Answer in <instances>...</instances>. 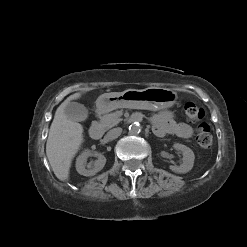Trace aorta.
Returning a JSON list of instances; mask_svg holds the SVG:
<instances>
[{
	"label": "aorta",
	"mask_w": 247,
	"mask_h": 247,
	"mask_svg": "<svg viewBox=\"0 0 247 247\" xmlns=\"http://www.w3.org/2000/svg\"><path fill=\"white\" fill-rule=\"evenodd\" d=\"M142 130L141 125L138 122H134L129 126V133L131 135H138Z\"/></svg>",
	"instance_id": "762f6f07"
}]
</instances>
